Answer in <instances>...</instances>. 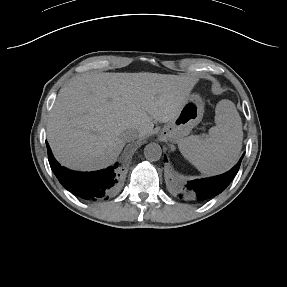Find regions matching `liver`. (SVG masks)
<instances>
[{
    "mask_svg": "<svg viewBox=\"0 0 287 287\" xmlns=\"http://www.w3.org/2000/svg\"><path fill=\"white\" fill-rule=\"evenodd\" d=\"M194 77L140 73L78 75L62 87L49 114L47 139L64 166L93 171L113 164L122 133H152V119L173 120L197 83ZM140 136V137H142Z\"/></svg>",
    "mask_w": 287,
    "mask_h": 287,
    "instance_id": "obj_1",
    "label": "liver"
}]
</instances>
